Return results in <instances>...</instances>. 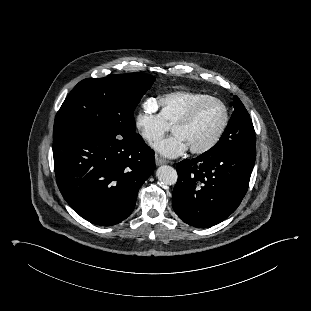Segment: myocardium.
<instances>
[{"instance_id":"myocardium-1","label":"myocardium","mask_w":311,"mask_h":311,"mask_svg":"<svg viewBox=\"0 0 311 311\" xmlns=\"http://www.w3.org/2000/svg\"><path fill=\"white\" fill-rule=\"evenodd\" d=\"M208 102H217L219 103L224 110V117H223V121L222 124L220 126V128L218 129L217 133L215 134V136L212 138V140L210 142H208L206 145L199 147V148H191L190 151L193 154H203L206 153L208 151H210L211 149H213L221 140L223 134L225 133L228 123H229V119H230V115H229V109L227 107V105L225 104L224 101H222L221 99L217 98V97H213V96H208L198 102H196L195 104H193L184 114L183 116L172 126V131H174L175 129L185 126L187 125L195 116V114L197 113V111L206 103Z\"/></svg>"}]
</instances>
